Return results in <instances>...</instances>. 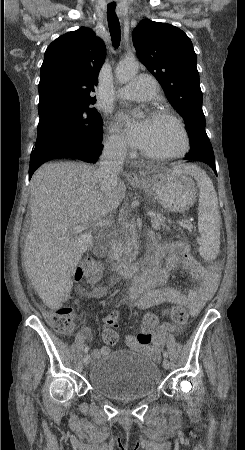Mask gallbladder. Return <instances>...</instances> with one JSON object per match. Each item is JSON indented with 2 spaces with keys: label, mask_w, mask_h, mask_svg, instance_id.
I'll return each mask as SVG.
<instances>
[{
  "label": "gallbladder",
  "mask_w": 245,
  "mask_h": 450,
  "mask_svg": "<svg viewBox=\"0 0 245 450\" xmlns=\"http://www.w3.org/2000/svg\"><path fill=\"white\" fill-rule=\"evenodd\" d=\"M93 252H94V254H96V255H102L100 249L97 248V247L93 248Z\"/></svg>",
  "instance_id": "1"
}]
</instances>
